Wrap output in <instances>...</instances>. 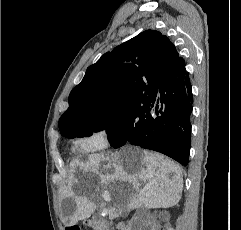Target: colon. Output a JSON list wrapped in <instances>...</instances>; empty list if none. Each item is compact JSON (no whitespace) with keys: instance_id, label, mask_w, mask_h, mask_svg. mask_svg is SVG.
Listing matches in <instances>:
<instances>
[{"instance_id":"colon-1","label":"colon","mask_w":241,"mask_h":230,"mask_svg":"<svg viewBox=\"0 0 241 230\" xmlns=\"http://www.w3.org/2000/svg\"><path fill=\"white\" fill-rule=\"evenodd\" d=\"M67 230H80V228L77 226H73V227L67 228Z\"/></svg>"}]
</instances>
